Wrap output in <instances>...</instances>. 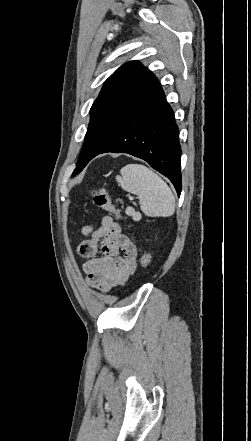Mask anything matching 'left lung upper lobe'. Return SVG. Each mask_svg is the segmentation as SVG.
Wrapping results in <instances>:
<instances>
[{"instance_id": "left-lung-upper-lobe-1", "label": "left lung upper lobe", "mask_w": 251, "mask_h": 441, "mask_svg": "<svg viewBox=\"0 0 251 441\" xmlns=\"http://www.w3.org/2000/svg\"><path fill=\"white\" fill-rule=\"evenodd\" d=\"M157 83V78L138 61L125 63L105 82L90 109L89 126L105 115H126L136 101ZM83 148L73 176L83 170L85 161Z\"/></svg>"}]
</instances>
